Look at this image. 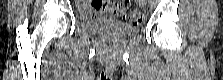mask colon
Masks as SVG:
<instances>
[{
	"instance_id": "colon-1",
	"label": "colon",
	"mask_w": 223,
	"mask_h": 80,
	"mask_svg": "<svg viewBox=\"0 0 223 80\" xmlns=\"http://www.w3.org/2000/svg\"><path fill=\"white\" fill-rule=\"evenodd\" d=\"M120 13L127 23L139 24L142 21V14L138 9L129 8V3L127 0L118 1Z\"/></svg>"
}]
</instances>
